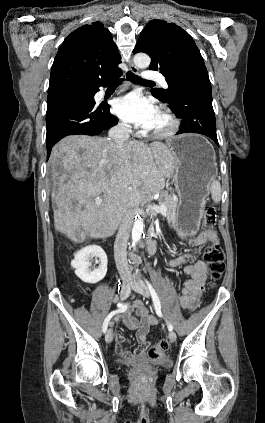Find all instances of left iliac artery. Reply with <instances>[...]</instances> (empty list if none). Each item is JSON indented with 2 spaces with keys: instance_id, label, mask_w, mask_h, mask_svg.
<instances>
[{
  "instance_id": "1",
  "label": "left iliac artery",
  "mask_w": 265,
  "mask_h": 423,
  "mask_svg": "<svg viewBox=\"0 0 265 423\" xmlns=\"http://www.w3.org/2000/svg\"><path fill=\"white\" fill-rule=\"evenodd\" d=\"M146 284H147L149 291L151 293L157 315L160 316V317H163V314L161 312V303H160V300H159V297H158L156 291L154 290L153 286L149 283V281L146 280ZM167 325H168V330L172 331L173 330L172 324H170L167 321Z\"/></svg>"
}]
</instances>
